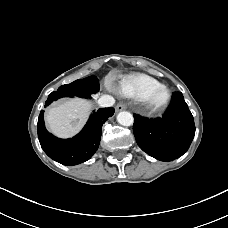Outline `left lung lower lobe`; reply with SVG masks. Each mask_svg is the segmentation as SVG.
<instances>
[{"mask_svg":"<svg viewBox=\"0 0 228 228\" xmlns=\"http://www.w3.org/2000/svg\"><path fill=\"white\" fill-rule=\"evenodd\" d=\"M133 132L139 147L161 161H172L189 148L195 134L193 116L181 92H174L162 118L134 114Z\"/></svg>","mask_w":228,"mask_h":228,"instance_id":"left-lung-lower-lobe-1","label":"left lung lower lobe"}]
</instances>
